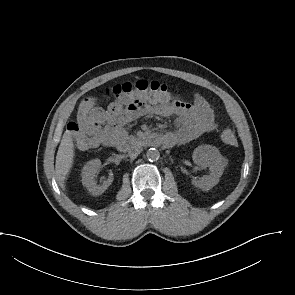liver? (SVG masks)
<instances>
[{
    "label": "liver",
    "mask_w": 295,
    "mask_h": 295,
    "mask_svg": "<svg viewBox=\"0 0 295 295\" xmlns=\"http://www.w3.org/2000/svg\"><path fill=\"white\" fill-rule=\"evenodd\" d=\"M74 143L69 132H65L56 156V175L59 186L65 190V180L73 165Z\"/></svg>",
    "instance_id": "liver-1"
}]
</instances>
